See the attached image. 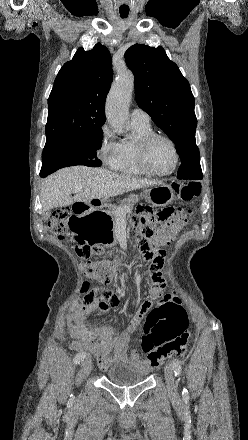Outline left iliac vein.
<instances>
[{
  "label": "left iliac vein",
  "mask_w": 248,
  "mask_h": 440,
  "mask_svg": "<svg viewBox=\"0 0 248 440\" xmlns=\"http://www.w3.org/2000/svg\"><path fill=\"white\" fill-rule=\"evenodd\" d=\"M164 376H165L168 391L171 394H175L176 386H175V382H174V375H173L172 367L170 365H166L164 367Z\"/></svg>",
  "instance_id": "left-iliac-vein-1"
}]
</instances>
